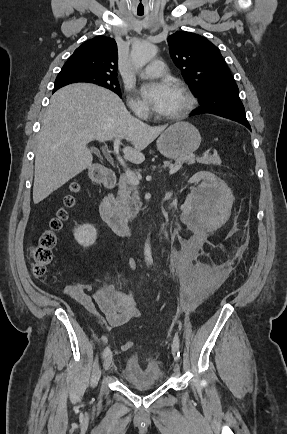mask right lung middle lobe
I'll list each match as a JSON object with an SVG mask.
<instances>
[{
  "instance_id": "obj_1",
  "label": "right lung middle lobe",
  "mask_w": 287,
  "mask_h": 434,
  "mask_svg": "<svg viewBox=\"0 0 287 434\" xmlns=\"http://www.w3.org/2000/svg\"><path fill=\"white\" fill-rule=\"evenodd\" d=\"M78 82L92 83L103 86L112 90L121 97L117 76L96 74L76 68H62L61 72L56 77L55 86L62 87L67 84Z\"/></svg>"
}]
</instances>
